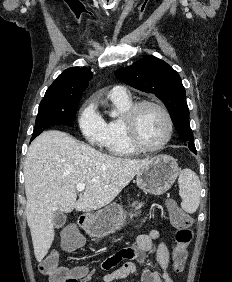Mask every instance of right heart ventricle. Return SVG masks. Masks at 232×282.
I'll list each match as a JSON object with an SVG mask.
<instances>
[{
	"label": "right heart ventricle",
	"mask_w": 232,
	"mask_h": 282,
	"mask_svg": "<svg viewBox=\"0 0 232 282\" xmlns=\"http://www.w3.org/2000/svg\"><path fill=\"white\" fill-rule=\"evenodd\" d=\"M110 99L112 106L118 111L119 115L105 122L103 147L115 156H131L137 154L139 151L130 144L124 125V115L133 105V101L130 97L121 98L112 95H110Z\"/></svg>",
	"instance_id": "obj_1"
}]
</instances>
